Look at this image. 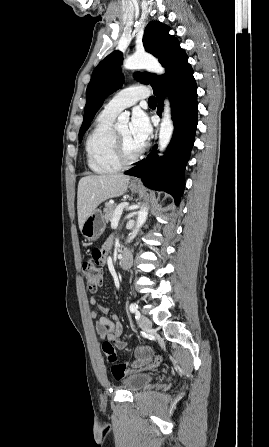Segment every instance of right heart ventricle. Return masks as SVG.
I'll use <instances>...</instances> for the list:
<instances>
[{"mask_svg":"<svg viewBox=\"0 0 269 447\" xmlns=\"http://www.w3.org/2000/svg\"><path fill=\"white\" fill-rule=\"evenodd\" d=\"M115 116L103 110L97 116L95 126L87 139L88 165L95 173H109L121 167L114 158L112 145V124Z\"/></svg>","mask_w":269,"mask_h":447,"instance_id":"right-heart-ventricle-1","label":"right heart ventricle"}]
</instances>
